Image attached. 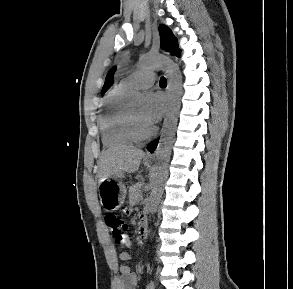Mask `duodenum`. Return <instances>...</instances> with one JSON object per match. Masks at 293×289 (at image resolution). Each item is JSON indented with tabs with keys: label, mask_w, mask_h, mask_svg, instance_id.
<instances>
[{
	"label": "duodenum",
	"mask_w": 293,
	"mask_h": 289,
	"mask_svg": "<svg viewBox=\"0 0 293 289\" xmlns=\"http://www.w3.org/2000/svg\"><path fill=\"white\" fill-rule=\"evenodd\" d=\"M147 234H148V222L145 218H142L139 225V236L143 238V237H146Z\"/></svg>",
	"instance_id": "duodenum-1"
}]
</instances>
